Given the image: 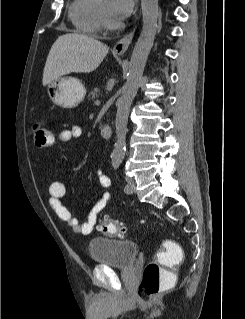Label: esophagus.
<instances>
[{
	"label": "esophagus",
	"mask_w": 245,
	"mask_h": 319,
	"mask_svg": "<svg viewBox=\"0 0 245 319\" xmlns=\"http://www.w3.org/2000/svg\"><path fill=\"white\" fill-rule=\"evenodd\" d=\"M134 32H135V28L128 33L127 35H125L122 39H120L113 47V51L117 54H124L129 45L132 42L133 36H134Z\"/></svg>",
	"instance_id": "obj_1"
}]
</instances>
